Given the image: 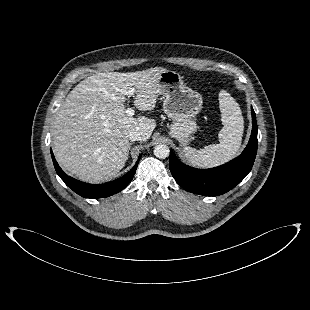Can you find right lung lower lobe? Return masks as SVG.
<instances>
[{"label": "right lung lower lobe", "mask_w": 310, "mask_h": 310, "mask_svg": "<svg viewBox=\"0 0 310 310\" xmlns=\"http://www.w3.org/2000/svg\"><path fill=\"white\" fill-rule=\"evenodd\" d=\"M51 156H52L55 170L57 174L60 176V178L65 182V184L69 188H71L74 192H76L77 194L85 198H103V197H108L115 193L120 192L131 182L136 172L137 164L141 158V155H140L138 157V161L135 164V166L127 174L120 177L119 179H116L114 181L101 184V185H92V184H87V183L78 181L66 175L63 172V170L60 168L58 163L56 162L52 151H51Z\"/></svg>", "instance_id": "1"}]
</instances>
